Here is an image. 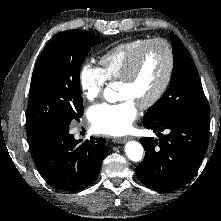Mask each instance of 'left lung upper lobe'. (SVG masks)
<instances>
[{"instance_id":"5c2ea615","label":"left lung upper lobe","mask_w":221,"mask_h":221,"mask_svg":"<svg viewBox=\"0 0 221 221\" xmlns=\"http://www.w3.org/2000/svg\"><path fill=\"white\" fill-rule=\"evenodd\" d=\"M173 42L174 66L170 87L152 105L144 116L143 124L161 126L186 111L196 112L208 107L198 71L188 50L175 35Z\"/></svg>"}]
</instances>
